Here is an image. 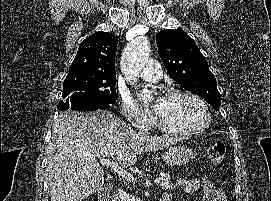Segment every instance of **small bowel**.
<instances>
[{"label":"small bowel","mask_w":271,"mask_h":201,"mask_svg":"<svg viewBox=\"0 0 271 201\" xmlns=\"http://www.w3.org/2000/svg\"><path fill=\"white\" fill-rule=\"evenodd\" d=\"M176 184L177 186L183 188V190L187 193L195 192L201 188L203 191V201H225L222 190L215 186L206 177L187 179L179 178L177 179Z\"/></svg>","instance_id":"1"}]
</instances>
